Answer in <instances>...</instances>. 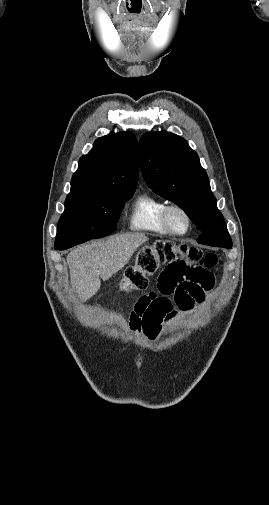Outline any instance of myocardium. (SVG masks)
<instances>
[{"mask_svg": "<svg viewBox=\"0 0 269 505\" xmlns=\"http://www.w3.org/2000/svg\"><path fill=\"white\" fill-rule=\"evenodd\" d=\"M175 210L181 212L187 220V229L183 232H179V231L175 230L170 223V219H169L170 213ZM161 220H162V223L165 226V228L168 230V232L170 234H173L176 236H184V235L188 234L189 231L191 230L192 224H193L190 213L183 206H181L179 204L166 205L162 210Z\"/></svg>", "mask_w": 269, "mask_h": 505, "instance_id": "f54148a6", "label": "myocardium"}]
</instances>
